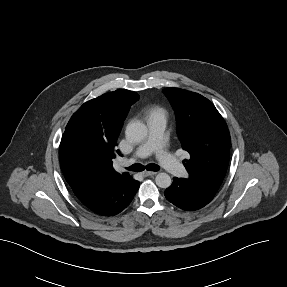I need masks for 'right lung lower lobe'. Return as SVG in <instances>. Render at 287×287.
Returning a JSON list of instances; mask_svg holds the SVG:
<instances>
[{
  "label": "right lung lower lobe",
  "instance_id": "98d812e1",
  "mask_svg": "<svg viewBox=\"0 0 287 287\" xmlns=\"http://www.w3.org/2000/svg\"><path fill=\"white\" fill-rule=\"evenodd\" d=\"M139 186L138 181L128 176L102 181L73 192L78 200L92 212L101 216H114L131 203Z\"/></svg>",
  "mask_w": 287,
  "mask_h": 287
}]
</instances>
